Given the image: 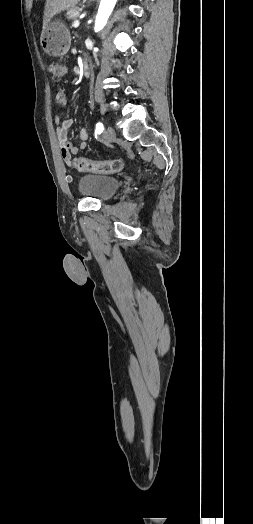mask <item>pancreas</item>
<instances>
[{
    "instance_id": "cf45deb5",
    "label": "pancreas",
    "mask_w": 253,
    "mask_h": 524,
    "mask_svg": "<svg viewBox=\"0 0 253 524\" xmlns=\"http://www.w3.org/2000/svg\"><path fill=\"white\" fill-rule=\"evenodd\" d=\"M81 8L75 7L67 11L66 17L69 20H75L80 14Z\"/></svg>"
}]
</instances>
